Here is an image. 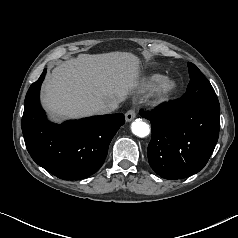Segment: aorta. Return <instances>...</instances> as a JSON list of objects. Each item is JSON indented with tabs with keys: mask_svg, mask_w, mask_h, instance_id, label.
<instances>
[{
	"mask_svg": "<svg viewBox=\"0 0 238 238\" xmlns=\"http://www.w3.org/2000/svg\"><path fill=\"white\" fill-rule=\"evenodd\" d=\"M131 130L134 135L141 138L146 137L150 133L149 124L140 119H137L134 122H132Z\"/></svg>",
	"mask_w": 238,
	"mask_h": 238,
	"instance_id": "762f6f07",
	"label": "aorta"
}]
</instances>
